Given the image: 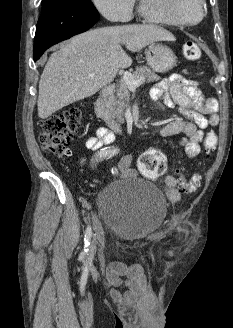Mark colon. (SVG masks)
Masks as SVG:
<instances>
[{
  "instance_id": "5ec220e1",
  "label": "colon",
  "mask_w": 233,
  "mask_h": 328,
  "mask_svg": "<svg viewBox=\"0 0 233 328\" xmlns=\"http://www.w3.org/2000/svg\"><path fill=\"white\" fill-rule=\"evenodd\" d=\"M183 53L186 59L192 61L199 59L201 55L199 47L194 42H187L183 47ZM82 118L81 110L74 108L44 120L41 123L39 136L42 149L61 158L69 157L71 154L70 142L78 134ZM216 142L217 138L213 133H209L205 137L204 158L206 160L212 157ZM139 168L146 177L157 178L166 171V158L161 151L148 149L139 158ZM200 183L201 177L198 174L189 180L183 176L179 177V187L183 193L195 192L200 187Z\"/></svg>"
}]
</instances>
